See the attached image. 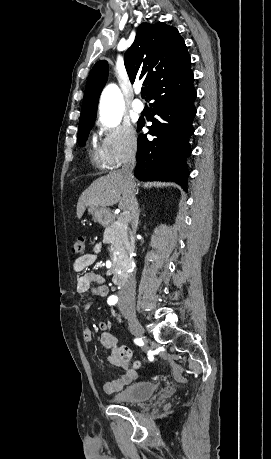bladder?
I'll list each match as a JSON object with an SVG mask.
<instances>
[{
    "label": "bladder",
    "mask_w": 271,
    "mask_h": 459,
    "mask_svg": "<svg viewBox=\"0 0 271 459\" xmlns=\"http://www.w3.org/2000/svg\"><path fill=\"white\" fill-rule=\"evenodd\" d=\"M156 392L155 382L131 383L123 391L113 395L114 404H137L148 400Z\"/></svg>",
    "instance_id": "obj_1"
}]
</instances>
